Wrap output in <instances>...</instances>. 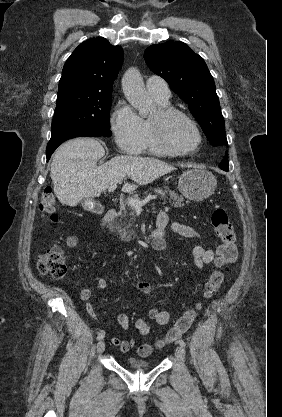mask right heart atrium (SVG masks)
<instances>
[{
    "label": "right heart atrium",
    "instance_id": "1",
    "mask_svg": "<svg viewBox=\"0 0 282 417\" xmlns=\"http://www.w3.org/2000/svg\"><path fill=\"white\" fill-rule=\"evenodd\" d=\"M111 129L121 151L138 154L144 150L145 121L128 104L118 103L111 117Z\"/></svg>",
    "mask_w": 282,
    "mask_h": 417
}]
</instances>
